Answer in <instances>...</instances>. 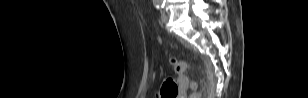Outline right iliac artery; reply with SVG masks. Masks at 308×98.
Listing matches in <instances>:
<instances>
[{"label": "right iliac artery", "mask_w": 308, "mask_h": 98, "mask_svg": "<svg viewBox=\"0 0 308 98\" xmlns=\"http://www.w3.org/2000/svg\"><path fill=\"white\" fill-rule=\"evenodd\" d=\"M155 6H156L157 9H159L160 6H161V4H160V3H157Z\"/></svg>", "instance_id": "1"}]
</instances>
